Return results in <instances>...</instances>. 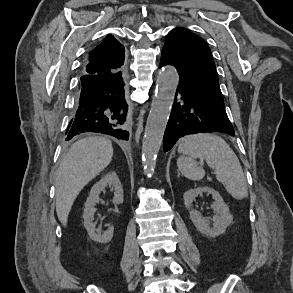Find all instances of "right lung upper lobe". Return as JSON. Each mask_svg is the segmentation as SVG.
<instances>
[{
  "label": "right lung upper lobe",
  "mask_w": 293,
  "mask_h": 293,
  "mask_svg": "<svg viewBox=\"0 0 293 293\" xmlns=\"http://www.w3.org/2000/svg\"><path fill=\"white\" fill-rule=\"evenodd\" d=\"M125 49L111 34L95 47L83 67L84 75L114 74L123 71Z\"/></svg>",
  "instance_id": "cb5924a9"
}]
</instances>
